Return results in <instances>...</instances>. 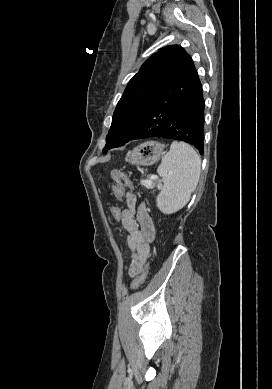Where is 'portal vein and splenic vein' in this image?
I'll return each mask as SVG.
<instances>
[{"instance_id": "portal-vein-and-splenic-vein-1", "label": "portal vein and splenic vein", "mask_w": 272, "mask_h": 389, "mask_svg": "<svg viewBox=\"0 0 272 389\" xmlns=\"http://www.w3.org/2000/svg\"><path fill=\"white\" fill-rule=\"evenodd\" d=\"M155 179H158V177L157 176H151L150 180L146 181V185L147 186H152V180H155Z\"/></svg>"}]
</instances>
